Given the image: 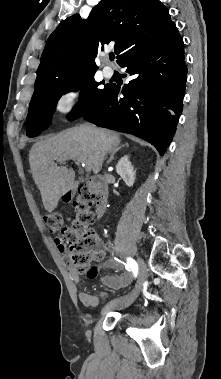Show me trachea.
I'll use <instances>...</instances> for the list:
<instances>
[{
    "instance_id": "3493384b",
    "label": "trachea",
    "mask_w": 221,
    "mask_h": 379,
    "mask_svg": "<svg viewBox=\"0 0 221 379\" xmlns=\"http://www.w3.org/2000/svg\"><path fill=\"white\" fill-rule=\"evenodd\" d=\"M109 58H110L111 61H113V60H114V54H113V53H110V54H109Z\"/></svg>"
}]
</instances>
